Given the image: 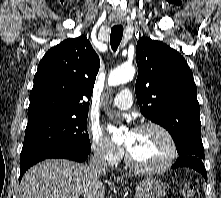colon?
<instances>
[{"instance_id": "obj_1", "label": "colon", "mask_w": 221, "mask_h": 198, "mask_svg": "<svg viewBox=\"0 0 221 198\" xmlns=\"http://www.w3.org/2000/svg\"><path fill=\"white\" fill-rule=\"evenodd\" d=\"M181 198H193L195 195V187L192 183H185L180 189Z\"/></svg>"}]
</instances>
